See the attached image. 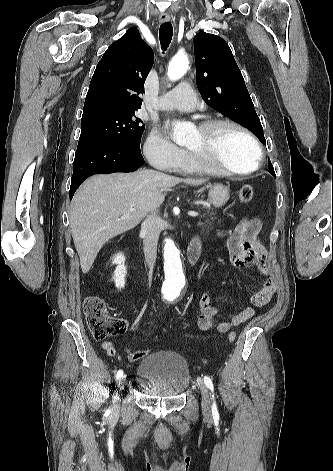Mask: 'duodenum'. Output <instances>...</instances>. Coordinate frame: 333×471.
Returning a JSON list of instances; mask_svg holds the SVG:
<instances>
[{"label": "duodenum", "instance_id": "obj_1", "mask_svg": "<svg viewBox=\"0 0 333 471\" xmlns=\"http://www.w3.org/2000/svg\"><path fill=\"white\" fill-rule=\"evenodd\" d=\"M200 254H201V242L199 239H194L191 241L187 249L186 258H187L188 264L190 266L195 265Z\"/></svg>", "mask_w": 333, "mask_h": 471}]
</instances>
